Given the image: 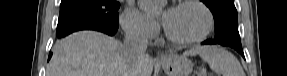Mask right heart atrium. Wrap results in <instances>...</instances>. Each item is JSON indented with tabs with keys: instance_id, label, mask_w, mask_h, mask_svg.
<instances>
[{
	"instance_id": "right-heart-atrium-1",
	"label": "right heart atrium",
	"mask_w": 287,
	"mask_h": 76,
	"mask_svg": "<svg viewBox=\"0 0 287 76\" xmlns=\"http://www.w3.org/2000/svg\"><path fill=\"white\" fill-rule=\"evenodd\" d=\"M121 22L127 33L138 38L150 39L159 32V25L155 20L132 6L124 10Z\"/></svg>"
}]
</instances>
